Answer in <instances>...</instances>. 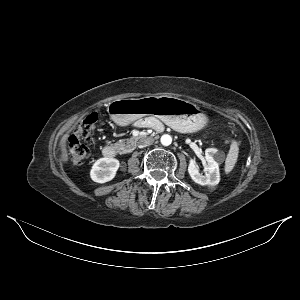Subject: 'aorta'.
<instances>
[{
  "mask_svg": "<svg viewBox=\"0 0 300 300\" xmlns=\"http://www.w3.org/2000/svg\"><path fill=\"white\" fill-rule=\"evenodd\" d=\"M161 144L164 146H169L172 143V137L168 134H164L161 136Z\"/></svg>",
  "mask_w": 300,
  "mask_h": 300,
  "instance_id": "762f6f07",
  "label": "aorta"
}]
</instances>
